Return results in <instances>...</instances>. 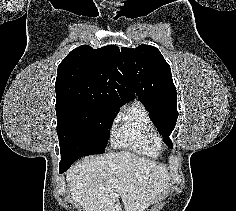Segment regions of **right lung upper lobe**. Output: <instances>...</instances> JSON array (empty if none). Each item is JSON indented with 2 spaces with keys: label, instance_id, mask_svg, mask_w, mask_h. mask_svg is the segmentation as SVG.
<instances>
[{
  "label": "right lung upper lobe",
  "instance_id": "right-lung-upper-lobe-1",
  "mask_svg": "<svg viewBox=\"0 0 236 211\" xmlns=\"http://www.w3.org/2000/svg\"><path fill=\"white\" fill-rule=\"evenodd\" d=\"M56 108L89 105L120 108L134 92L117 46L93 49L82 45L59 64L55 83Z\"/></svg>",
  "mask_w": 236,
  "mask_h": 211
}]
</instances>
